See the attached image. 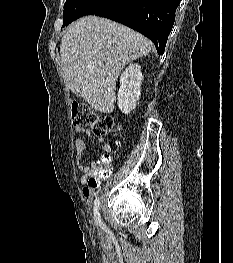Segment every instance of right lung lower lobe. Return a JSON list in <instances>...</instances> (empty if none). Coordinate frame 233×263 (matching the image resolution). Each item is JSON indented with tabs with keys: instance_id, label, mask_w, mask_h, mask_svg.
<instances>
[{
	"instance_id": "1",
	"label": "right lung lower lobe",
	"mask_w": 233,
	"mask_h": 263,
	"mask_svg": "<svg viewBox=\"0 0 233 263\" xmlns=\"http://www.w3.org/2000/svg\"><path fill=\"white\" fill-rule=\"evenodd\" d=\"M180 0H122L111 13L99 15L122 23L153 41L159 55L165 50Z\"/></svg>"
}]
</instances>
